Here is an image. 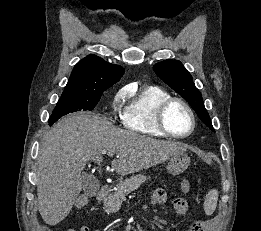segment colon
Listing matches in <instances>:
<instances>
[{"label": "colon", "instance_id": "1", "mask_svg": "<svg viewBox=\"0 0 261 231\" xmlns=\"http://www.w3.org/2000/svg\"><path fill=\"white\" fill-rule=\"evenodd\" d=\"M189 188H190V182L187 180V182L182 184V189L183 191L186 192L189 190ZM87 203H88V199L86 197H81L76 200L74 206L75 208L80 209L85 207ZM202 226H203V222H195L191 225L190 231H198ZM41 231H53V229L50 227L43 226Z\"/></svg>", "mask_w": 261, "mask_h": 231}]
</instances>
